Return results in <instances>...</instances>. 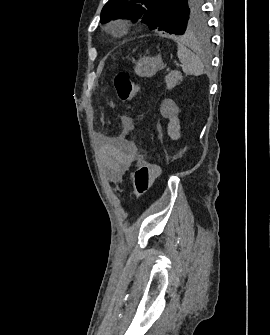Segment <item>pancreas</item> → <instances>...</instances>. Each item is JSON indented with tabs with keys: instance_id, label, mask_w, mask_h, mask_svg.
Instances as JSON below:
<instances>
[{
	"instance_id": "obj_1",
	"label": "pancreas",
	"mask_w": 270,
	"mask_h": 335,
	"mask_svg": "<svg viewBox=\"0 0 270 335\" xmlns=\"http://www.w3.org/2000/svg\"><path fill=\"white\" fill-rule=\"evenodd\" d=\"M179 80H183V76L180 72H170L165 78L167 90H172L176 84H180Z\"/></svg>"
}]
</instances>
